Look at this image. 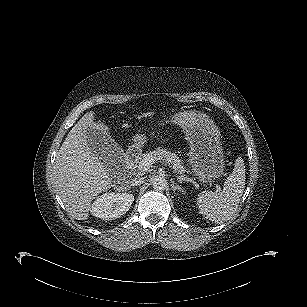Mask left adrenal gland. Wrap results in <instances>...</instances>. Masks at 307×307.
Returning <instances> with one entry per match:
<instances>
[{"instance_id":"a2214340","label":"left adrenal gland","mask_w":307,"mask_h":307,"mask_svg":"<svg viewBox=\"0 0 307 307\" xmlns=\"http://www.w3.org/2000/svg\"><path fill=\"white\" fill-rule=\"evenodd\" d=\"M171 189L173 190L174 193H175V191H178L180 193H184V190L179 185L174 184V183H172Z\"/></svg>"}]
</instances>
